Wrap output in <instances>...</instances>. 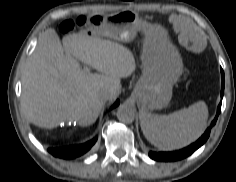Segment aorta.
<instances>
[{
    "mask_svg": "<svg viewBox=\"0 0 236 182\" xmlns=\"http://www.w3.org/2000/svg\"><path fill=\"white\" fill-rule=\"evenodd\" d=\"M117 118L122 123L130 124L135 119V112L130 106L123 104L117 109Z\"/></svg>",
    "mask_w": 236,
    "mask_h": 182,
    "instance_id": "aorta-1",
    "label": "aorta"
}]
</instances>
